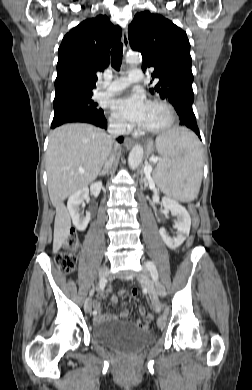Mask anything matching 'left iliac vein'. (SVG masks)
Segmentation results:
<instances>
[{
    "label": "left iliac vein",
    "instance_id": "obj_1",
    "mask_svg": "<svg viewBox=\"0 0 252 390\" xmlns=\"http://www.w3.org/2000/svg\"><path fill=\"white\" fill-rule=\"evenodd\" d=\"M137 279L148 289V293L152 302V307L155 312L159 313L162 310L158 294H165V287L157 283L156 285L150 279L149 271L144 268L141 273L138 274Z\"/></svg>",
    "mask_w": 252,
    "mask_h": 390
}]
</instances>
